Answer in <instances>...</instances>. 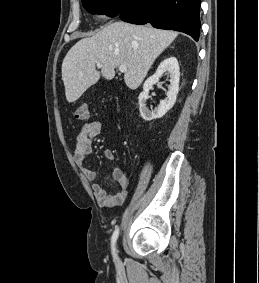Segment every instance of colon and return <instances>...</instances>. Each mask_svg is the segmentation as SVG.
Returning a JSON list of instances; mask_svg holds the SVG:
<instances>
[{
    "label": "colon",
    "instance_id": "1",
    "mask_svg": "<svg viewBox=\"0 0 259 283\" xmlns=\"http://www.w3.org/2000/svg\"><path fill=\"white\" fill-rule=\"evenodd\" d=\"M75 117L80 121L87 120L89 118L88 106L84 103L80 104L75 111Z\"/></svg>",
    "mask_w": 259,
    "mask_h": 283
}]
</instances>
